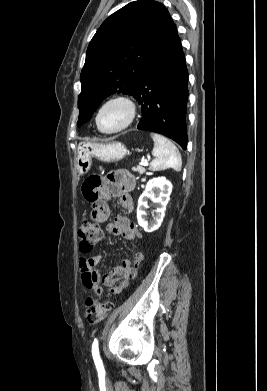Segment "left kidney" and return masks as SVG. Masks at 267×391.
Here are the masks:
<instances>
[{"label":"left kidney","mask_w":267,"mask_h":391,"mask_svg":"<svg viewBox=\"0 0 267 391\" xmlns=\"http://www.w3.org/2000/svg\"><path fill=\"white\" fill-rule=\"evenodd\" d=\"M171 192L172 184L164 177L153 178L148 181L144 192L139 197L137 206L138 224L146 232H153L161 226L165 216L166 206L170 200ZM148 199L156 204V215L153 216V220L150 222L147 220L146 212V209L148 208Z\"/></svg>","instance_id":"1"}]
</instances>
